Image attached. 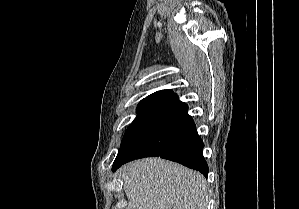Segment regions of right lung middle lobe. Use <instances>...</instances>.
<instances>
[{"label": "right lung middle lobe", "mask_w": 299, "mask_h": 209, "mask_svg": "<svg viewBox=\"0 0 299 209\" xmlns=\"http://www.w3.org/2000/svg\"><path fill=\"white\" fill-rule=\"evenodd\" d=\"M158 105L153 104H139L138 105V114L135 120L126 130V133L123 137L120 150L126 145V143L136 134V132L143 126V124L149 119L152 113ZM119 150V152H120Z\"/></svg>", "instance_id": "dd1d6c3e"}]
</instances>
